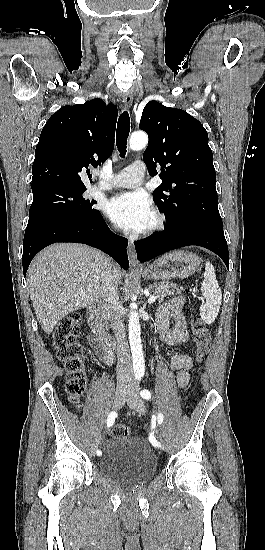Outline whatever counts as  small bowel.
<instances>
[{"label": "small bowel", "mask_w": 265, "mask_h": 550, "mask_svg": "<svg viewBox=\"0 0 265 550\" xmlns=\"http://www.w3.org/2000/svg\"><path fill=\"white\" fill-rule=\"evenodd\" d=\"M184 300L182 297H174L163 303L157 309L156 324L157 333L160 340L172 347H182L189 341V333L186 319L182 313ZM174 320V325L169 327V320ZM89 343L99 358L106 364H112L114 355L111 350H102L93 344V338H89ZM171 364L177 370V385L183 388L190 381V370L192 368V359L184 353H176L171 358Z\"/></svg>", "instance_id": "c3829d8e"}]
</instances>
